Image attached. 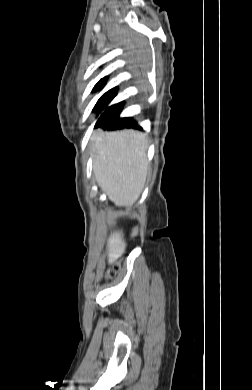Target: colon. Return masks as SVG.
<instances>
[{"label":"colon","instance_id":"1","mask_svg":"<svg viewBox=\"0 0 252 390\" xmlns=\"http://www.w3.org/2000/svg\"><path fill=\"white\" fill-rule=\"evenodd\" d=\"M118 268H119V263L118 262L113 263L111 268L108 270V276H113Z\"/></svg>","mask_w":252,"mask_h":390}]
</instances>
